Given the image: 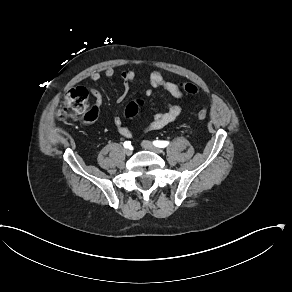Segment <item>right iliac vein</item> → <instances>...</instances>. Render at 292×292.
<instances>
[{
	"instance_id": "right-iliac-vein-1",
	"label": "right iliac vein",
	"mask_w": 292,
	"mask_h": 292,
	"mask_svg": "<svg viewBox=\"0 0 292 292\" xmlns=\"http://www.w3.org/2000/svg\"><path fill=\"white\" fill-rule=\"evenodd\" d=\"M125 154H126L127 156L132 155V149H126V150H125Z\"/></svg>"
}]
</instances>
